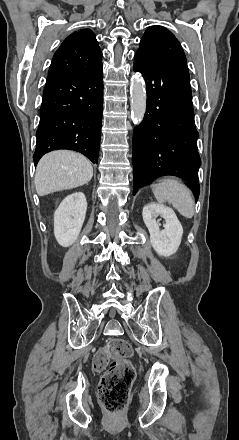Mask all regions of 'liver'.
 Instances as JSON below:
<instances>
[{
  "mask_svg": "<svg viewBox=\"0 0 239 440\" xmlns=\"http://www.w3.org/2000/svg\"><path fill=\"white\" fill-rule=\"evenodd\" d=\"M93 176L91 162L70 150H56L41 158L35 174L38 196L71 190L88 184Z\"/></svg>",
  "mask_w": 239,
  "mask_h": 440,
  "instance_id": "6515ba94",
  "label": "liver"
}]
</instances>
